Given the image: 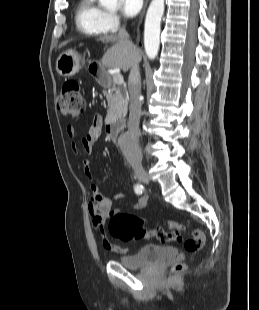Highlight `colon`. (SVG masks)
Segmentation results:
<instances>
[{
    "label": "colon",
    "instance_id": "obj_1",
    "mask_svg": "<svg viewBox=\"0 0 259 310\" xmlns=\"http://www.w3.org/2000/svg\"><path fill=\"white\" fill-rule=\"evenodd\" d=\"M84 99L80 84L77 81H66L57 98V109L65 116L77 117L84 111ZM145 220L131 213L116 212L110 217L108 230L111 236L122 241L156 238L162 242H175L181 240L180 233L185 226L179 222H166L168 231L156 228L146 229ZM204 245V234L201 230L196 229L192 232L191 237L185 240L184 248L187 253L194 254L202 249ZM185 268L183 263L174 266V271H182Z\"/></svg>",
    "mask_w": 259,
    "mask_h": 310
}]
</instances>
